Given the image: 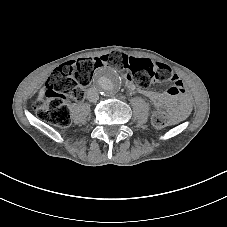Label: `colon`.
Instances as JSON below:
<instances>
[{
	"mask_svg": "<svg viewBox=\"0 0 227 227\" xmlns=\"http://www.w3.org/2000/svg\"><path fill=\"white\" fill-rule=\"evenodd\" d=\"M102 66L124 71L142 88L155 83L171 82L172 85L167 90L169 96L175 97L184 92L183 82L169 66L146 58L110 53L98 58L70 61L57 67L47 81L44 98L35 105L38 116L55 126L68 127L72 120L67 98L82 100L84 88L91 82L94 71ZM151 122L155 128L161 129L168 125L169 120L165 113L155 112Z\"/></svg>",
	"mask_w": 227,
	"mask_h": 227,
	"instance_id": "obj_1",
	"label": "colon"
}]
</instances>
